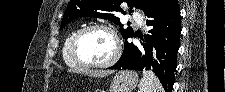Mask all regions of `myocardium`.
Segmentation results:
<instances>
[{"label":"myocardium","instance_id":"obj_1","mask_svg":"<svg viewBox=\"0 0 225 92\" xmlns=\"http://www.w3.org/2000/svg\"><path fill=\"white\" fill-rule=\"evenodd\" d=\"M92 30H102L104 32H107L113 41L114 53L110 59H108L107 61H105L103 63L88 62V61L82 59V57L78 53L77 47H78V43H79L80 39L87 32L92 31ZM69 52L72 57V60L79 67L87 68V69H105V68H108V67L114 65L120 58L121 44H120V40H119L116 32L111 27H109L108 25H105V24L94 23V24H90V25L82 27L74 34V36L72 37L70 44H69Z\"/></svg>","mask_w":225,"mask_h":92}]
</instances>
